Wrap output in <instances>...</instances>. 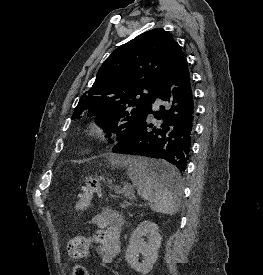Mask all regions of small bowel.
<instances>
[{
  "label": "small bowel",
  "mask_w": 263,
  "mask_h": 275,
  "mask_svg": "<svg viewBox=\"0 0 263 275\" xmlns=\"http://www.w3.org/2000/svg\"><path fill=\"white\" fill-rule=\"evenodd\" d=\"M92 225L97 228L100 239L102 261L111 262L119 253L120 236L124 219L111 208H103L91 219Z\"/></svg>",
  "instance_id": "obj_1"
}]
</instances>
